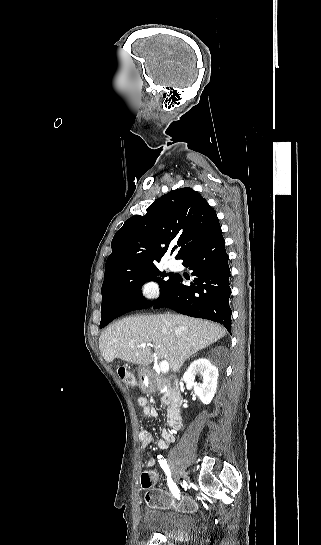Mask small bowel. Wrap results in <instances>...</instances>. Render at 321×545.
Masks as SVG:
<instances>
[{
	"label": "small bowel",
	"instance_id": "1",
	"mask_svg": "<svg viewBox=\"0 0 321 545\" xmlns=\"http://www.w3.org/2000/svg\"><path fill=\"white\" fill-rule=\"evenodd\" d=\"M137 405L143 409V413L147 417H156L158 415L157 410L150 406L148 400L145 396H139L137 398ZM139 440L141 443V449H146L149 445L153 444L156 439L153 433L148 430H141L139 433ZM174 441V434L169 429H164L162 431V439L158 441V446L160 449L168 448L169 444ZM155 460L150 458L146 464V471L149 472L153 483L158 480L159 473L154 468Z\"/></svg>",
	"mask_w": 321,
	"mask_h": 545
}]
</instances>
